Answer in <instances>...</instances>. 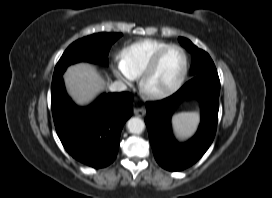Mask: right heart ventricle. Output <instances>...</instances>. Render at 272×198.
Segmentation results:
<instances>
[{"mask_svg":"<svg viewBox=\"0 0 272 198\" xmlns=\"http://www.w3.org/2000/svg\"><path fill=\"white\" fill-rule=\"evenodd\" d=\"M168 45L155 39L139 40L121 51V60L135 77H139L154 55Z\"/></svg>","mask_w":272,"mask_h":198,"instance_id":"obj_1","label":"right heart ventricle"}]
</instances>
